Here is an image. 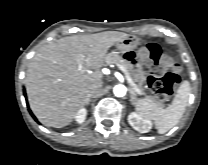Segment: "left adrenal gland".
<instances>
[{"label": "left adrenal gland", "instance_id": "obj_1", "mask_svg": "<svg viewBox=\"0 0 208 165\" xmlns=\"http://www.w3.org/2000/svg\"><path fill=\"white\" fill-rule=\"evenodd\" d=\"M136 100H137V98H136V93H135V91H134L133 89H130V101H131V103H132V104H135L134 101H136Z\"/></svg>", "mask_w": 208, "mask_h": 165}]
</instances>
